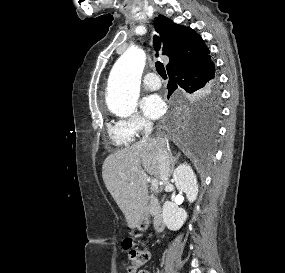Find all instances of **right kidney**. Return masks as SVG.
I'll list each match as a JSON object with an SVG mask.
<instances>
[{"label":"right kidney","mask_w":285,"mask_h":273,"mask_svg":"<svg viewBox=\"0 0 285 273\" xmlns=\"http://www.w3.org/2000/svg\"><path fill=\"white\" fill-rule=\"evenodd\" d=\"M173 178L177 189L186 193L188 201L193 203L198 195V185L192 168L187 163L180 164L175 170ZM187 216V212L175 203H164L162 217L169 230H179L186 221Z\"/></svg>","instance_id":"1"}]
</instances>
